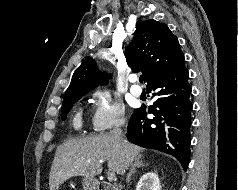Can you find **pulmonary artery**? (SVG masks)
<instances>
[{"instance_id":"obj_1","label":"pulmonary artery","mask_w":238,"mask_h":190,"mask_svg":"<svg viewBox=\"0 0 238 190\" xmlns=\"http://www.w3.org/2000/svg\"><path fill=\"white\" fill-rule=\"evenodd\" d=\"M130 81L133 83L130 87V93L135 97H139L142 94V89L134 84L136 82V77L130 78Z\"/></svg>"}]
</instances>
